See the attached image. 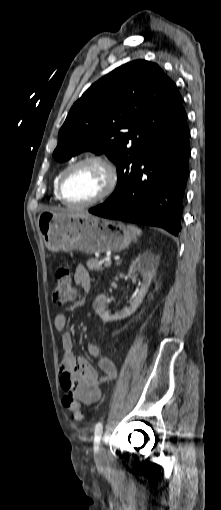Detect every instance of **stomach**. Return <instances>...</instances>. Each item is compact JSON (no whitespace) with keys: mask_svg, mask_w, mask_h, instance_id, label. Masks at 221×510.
Wrapping results in <instances>:
<instances>
[{"mask_svg":"<svg viewBox=\"0 0 221 510\" xmlns=\"http://www.w3.org/2000/svg\"><path fill=\"white\" fill-rule=\"evenodd\" d=\"M37 223L46 247L53 252H118L135 237L122 222L88 213L44 211L38 215Z\"/></svg>","mask_w":221,"mask_h":510,"instance_id":"1","label":"stomach"}]
</instances>
